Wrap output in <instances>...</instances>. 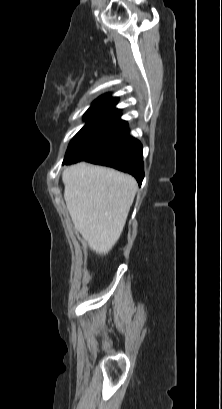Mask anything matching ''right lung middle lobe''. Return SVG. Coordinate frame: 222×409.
<instances>
[{
    "mask_svg": "<svg viewBox=\"0 0 222 409\" xmlns=\"http://www.w3.org/2000/svg\"><path fill=\"white\" fill-rule=\"evenodd\" d=\"M120 115L121 113L113 108L89 109L84 115L87 123L70 142L63 164L82 161L97 152Z\"/></svg>",
    "mask_w": 222,
    "mask_h": 409,
    "instance_id": "dd1d6c3e",
    "label": "right lung middle lobe"
}]
</instances>
